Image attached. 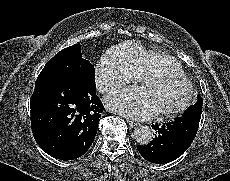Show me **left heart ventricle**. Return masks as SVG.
<instances>
[{"label": "left heart ventricle", "instance_id": "left-heart-ventricle-1", "mask_svg": "<svg viewBox=\"0 0 230 181\" xmlns=\"http://www.w3.org/2000/svg\"><path fill=\"white\" fill-rule=\"evenodd\" d=\"M142 95L156 111L172 109L184 99L186 85L181 81L155 79L144 86Z\"/></svg>", "mask_w": 230, "mask_h": 181}]
</instances>
